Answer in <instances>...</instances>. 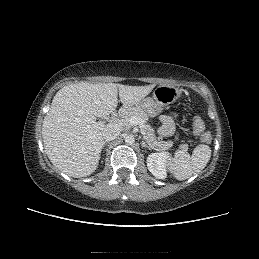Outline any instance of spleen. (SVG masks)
<instances>
[{
    "instance_id": "spleen-1",
    "label": "spleen",
    "mask_w": 259,
    "mask_h": 259,
    "mask_svg": "<svg viewBox=\"0 0 259 259\" xmlns=\"http://www.w3.org/2000/svg\"><path fill=\"white\" fill-rule=\"evenodd\" d=\"M210 157L211 148L200 144L195 147L191 156L186 151L178 150L175 157L167 161V167L177 180H185L203 170Z\"/></svg>"
}]
</instances>
